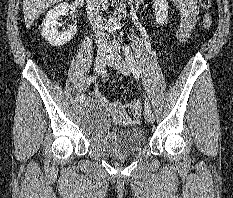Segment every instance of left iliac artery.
<instances>
[{
	"label": "left iliac artery",
	"instance_id": "obj_1",
	"mask_svg": "<svg viewBox=\"0 0 233 198\" xmlns=\"http://www.w3.org/2000/svg\"><path fill=\"white\" fill-rule=\"evenodd\" d=\"M124 56H125V61L129 67L130 71L134 75H139L140 70H139V68L134 60L133 53L128 45H125V47H124ZM145 109H150V104L148 102V99H146V101H145Z\"/></svg>",
	"mask_w": 233,
	"mask_h": 198
}]
</instances>
